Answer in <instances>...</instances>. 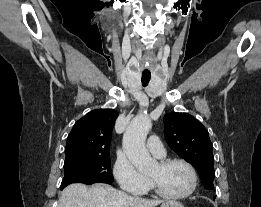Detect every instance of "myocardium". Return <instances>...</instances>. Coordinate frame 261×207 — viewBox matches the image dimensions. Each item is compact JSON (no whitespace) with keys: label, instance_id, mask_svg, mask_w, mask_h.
Returning <instances> with one entry per match:
<instances>
[{"label":"myocardium","instance_id":"myocardium-1","mask_svg":"<svg viewBox=\"0 0 261 207\" xmlns=\"http://www.w3.org/2000/svg\"><path fill=\"white\" fill-rule=\"evenodd\" d=\"M158 164L162 167L171 165V164H181L183 166H185L190 174V178H191V182H190V186L189 188L180 194H170L167 193L165 191H163L156 183L153 179H151L149 177V182L151 185V188L154 190V192L165 199H169V200H181V199H185L189 196H191L197 187V174L196 171L194 169V167L192 166V164H190L188 161L184 160V159H180V158H165V159H161L159 160Z\"/></svg>","mask_w":261,"mask_h":207}]
</instances>
